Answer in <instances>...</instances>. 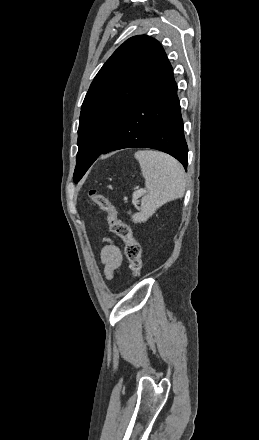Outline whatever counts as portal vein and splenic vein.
<instances>
[{
  "instance_id": "obj_1",
  "label": "portal vein and splenic vein",
  "mask_w": 259,
  "mask_h": 440,
  "mask_svg": "<svg viewBox=\"0 0 259 440\" xmlns=\"http://www.w3.org/2000/svg\"><path fill=\"white\" fill-rule=\"evenodd\" d=\"M146 193V190L141 189L137 192L133 193V201H136L139 197H141L142 195H144Z\"/></svg>"
}]
</instances>
